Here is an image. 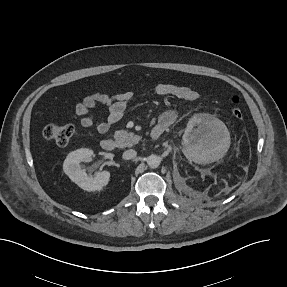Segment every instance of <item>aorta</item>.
Wrapping results in <instances>:
<instances>
[{"label": "aorta", "mask_w": 287, "mask_h": 287, "mask_svg": "<svg viewBox=\"0 0 287 287\" xmlns=\"http://www.w3.org/2000/svg\"><path fill=\"white\" fill-rule=\"evenodd\" d=\"M160 157L157 155H150L147 157V164L150 168H157L160 165Z\"/></svg>", "instance_id": "obj_1"}]
</instances>
